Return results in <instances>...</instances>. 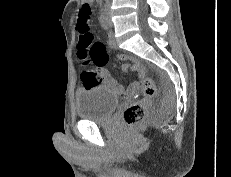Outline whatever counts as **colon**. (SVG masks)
Here are the masks:
<instances>
[{
	"label": "colon",
	"instance_id": "1",
	"mask_svg": "<svg viewBox=\"0 0 231 177\" xmlns=\"http://www.w3.org/2000/svg\"><path fill=\"white\" fill-rule=\"evenodd\" d=\"M91 8L85 4L81 7L77 28L80 32L79 57L86 64L93 63L96 66L105 65L109 60V55L105 47L98 42H94L93 34L90 29ZM83 78L87 83L95 84L99 81L98 74L91 69L83 72ZM143 97L129 105L124 111V119L128 126L135 127L143 122L150 100L156 94V86L151 78H144L142 82Z\"/></svg>",
	"mask_w": 231,
	"mask_h": 177
}]
</instances>
